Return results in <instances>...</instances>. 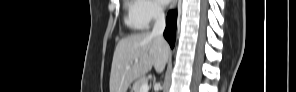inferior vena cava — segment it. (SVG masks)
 <instances>
[{
    "instance_id": "obj_1",
    "label": "inferior vena cava",
    "mask_w": 296,
    "mask_h": 92,
    "mask_svg": "<svg viewBox=\"0 0 296 92\" xmlns=\"http://www.w3.org/2000/svg\"><path fill=\"white\" fill-rule=\"evenodd\" d=\"M155 23L152 29L153 36H162L165 29V14L161 6L155 7Z\"/></svg>"
}]
</instances>
